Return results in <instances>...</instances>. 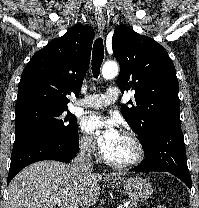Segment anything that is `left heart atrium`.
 <instances>
[{
    "mask_svg": "<svg viewBox=\"0 0 199 208\" xmlns=\"http://www.w3.org/2000/svg\"><path fill=\"white\" fill-rule=\"evenodd\" d=\"M81 126L89 134L101 133L98 142L104 154L112 148L121 136L117 118L99 112H91L86 115L82 119Z\"/></svg>",
    "mask_w": 199,
    "mask_h": 208,
    "instance_id": "obj_1",
    "label": "left heart atrium"
}]
</instances>
